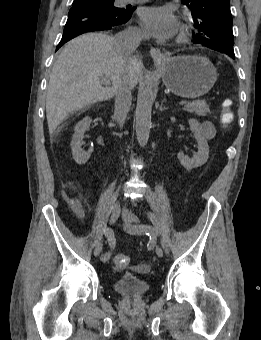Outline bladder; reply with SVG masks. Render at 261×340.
Segmentation results:
<instances>
[{"mask_svg": "<svg viewBox=\"0 0 261 340\" xmlns=\"http://www.w3.org/2000/svg\"><path fill=\"white\" fill-rule=\"evenodd\" d=\"M114 289L125 297L135 298L144 295L148 291V283L140 277L123 274L115 280Z\"/></svg>", "mask_w": 261, "mask_h": 340, "instance_id": "1", "label": "bladder"}]
</instances>
